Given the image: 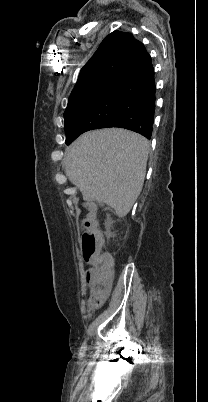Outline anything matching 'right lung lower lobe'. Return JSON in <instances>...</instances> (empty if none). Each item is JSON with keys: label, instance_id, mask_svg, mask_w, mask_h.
Segmentation results:
<instances>
[{"label": "right lung lower lobe", "instance_id": "1", "mask_svg": "<svg viewBox=\"0 0 208 402\" xmlns=\"http://www.w3.org/2000/svg\"><path fill=\"white\" fill-rule=\"evenodd\" d=\"M120 94V110L65 123L66 136L80 135L92 129L126 128L149 139L155 112V81L151 57L143 46L112 81ZM77 133V134H76Z\"/></svg>", "mask_w": 208, "mask_h": 402}]
</instances>
